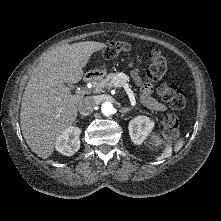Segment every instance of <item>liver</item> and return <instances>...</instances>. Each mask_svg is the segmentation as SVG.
<instances>
[{"instance_id":"6515ba94","label":"liver","mask_w":221,"mask_h":221,"mask_svg":"<svg viewBox=\"0 0 221 221\" xmlns=\"http://www.w3.org/2000/svg\"><path fill=\"white\" fill-rule=\"evenodd\" d=\"M104 47L95 41L63 44L41 56L25 87L20 111L24 139L39 157H50L59 136L76 120L83 96L72 95L65 83L79 82L91 56Z\"/></svg>"}]
</instances>
